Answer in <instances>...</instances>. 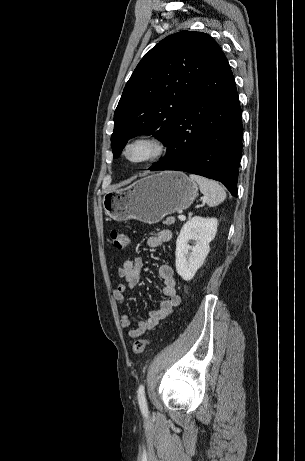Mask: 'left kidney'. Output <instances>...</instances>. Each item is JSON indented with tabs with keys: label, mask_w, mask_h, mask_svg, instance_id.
Here are the masks:
<instances>
[{
	"label": "left kidney",
	"mask_w": 305,
	"mask_h": 461,
	"mask_svg": "<svg viewBox=\"0 0 305 461\" xmlns=\"http://www.w3.org/2000/svg\"><path fill=\"white\" fill-rule=\"evenodd\" d=\"M218 220L195 216L181 228L176 241V271L185 281H190L203 265L215 238ZM194 245H189V241Z\"/></svg>",
	"instance_id": "left-kidney-1"
}]
</instances>
